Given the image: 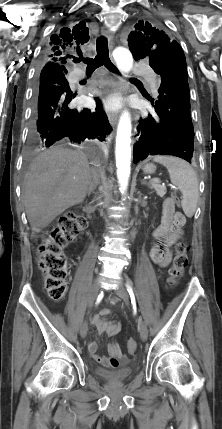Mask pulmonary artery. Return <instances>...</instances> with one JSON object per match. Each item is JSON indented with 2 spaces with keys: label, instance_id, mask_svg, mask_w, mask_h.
Listing matches in <instances>:
<instances>
[{
  "label": "pulmonary artery",
  "instance_id": "obj_1",
  "mask_svg": "<svg viewBox=\"0 0 222 429\" xmlns=\"http://www.w3.org/2000/svg\"><path fill=\"white\" fill-rule=\"evenodd\" d=\"M133 73L134 74H141V75H144L147 79H148V83H149V86H150V88L154 91V92H156L157 91V88H158V82H157V79H156V76L152 73V71L150 70V69H148L147 67H145V66H141V67H136L134 70H133ZM83 70H81V69H78L76 72H75V79H81V78H83Z\"/></svg>",
  "mask_w": 222,
  "mask_h": 429
}]
</instances>
